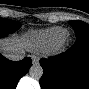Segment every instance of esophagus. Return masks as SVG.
Returning a JSON list of instances; mask_svg holds the SVG:
<instances>
[{
  "label": "esophagus",
  "instance_id": "obj_1",
  "mask_svg": "<svg viewBox=\"0 0 89 89\" xmlns=\"http://www.w3.org/2000/svg\"><path fill=\"white\" fill-rule=\"evenodd\" d=\"M32 62L33 64H38L39 63V58L37 56H32Z\"/></svg>",
  "mask_w": 89,
  "mask_h": 89
}]
</instances>
